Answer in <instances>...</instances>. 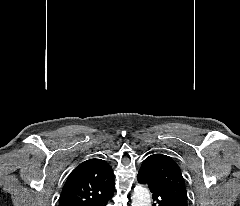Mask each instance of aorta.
<instances>
[{
	"label": "aorta",
	"instance_id": "1",
	"mask_svg": "<svg viewBox=\"0 0 240 206\" xmlns=\"http://www.w3.org/2000/svg\"><path fill=\"white\" fill-rule=\"evenodd\" d=\"M132 206H151V195L143 186H136L134 188Z\"/></svg>",
	"mask_w": 240,
	"mask_h": 206
}]
</instances>
